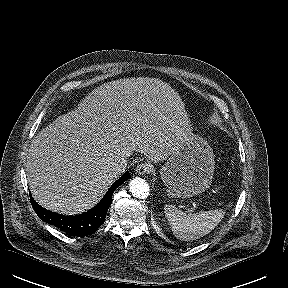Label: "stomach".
Masks as SVG:
<instances>
[{
  "instance_id": "obj_1",
  "label": "stomach",
  "mask_w": 288,
  "mask_h": 288,
  "mask_svg": "<svg viewBox=\"0 0 288 288\" xmlns=\"http://www.w3.org/2000/svg\"><path fill=\"white\" fill-rule=\"evenodd\" d=\"M214 154L208 142L191 134L170 154L160 169L170 197H192L204 192L214 173Z\"/></svg>"
}]
</instances>
